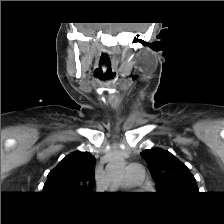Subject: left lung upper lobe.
I'll use <instances>...</instances> for the list:
<instances>
[{"mask_svg":"<svg viewBox=\"0 0 224 224\" xmlns=\"http://www.w3.org/2000/svg\"><path fill=\"white\" fill-rule=\"evenodd\" d=\"M141 155L150 167L158 194L181 197L199 193L194 176L170 152L152 148L144 150Z\"/></svg>","mask_w":224,"mask_h":224,"instance_id":"1","label":"left lung upper lobe"}]
</instances>
